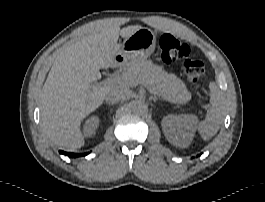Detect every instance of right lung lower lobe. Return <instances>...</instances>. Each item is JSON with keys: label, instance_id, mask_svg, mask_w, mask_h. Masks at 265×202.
Masks as SVG:
<instances>
[{"label": "right lung lower lobe", "instance_id": "1", "mask_svg": "<svg viewBox=\"0 0 265 202\" xmlns=\"http://www.w3.org/2000/svg\"><path fill=\"white\" fill-rule=\"evenodd\" d=\"M61 154H64V155H66V156H68V157H80V156H85V155H87L88 153H86V154H77V153H67V152H64V151H59Z\"/></svg>", "mask_w": 265, "mask_h": 202}]
</instances>
